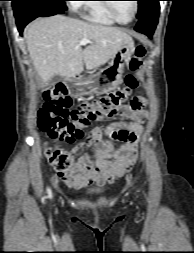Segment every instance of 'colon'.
Returning <instances> with one entry per match:
<instances>
[{
    "label": "colon",
    "mask_w": 194,
    "mask_h": 253,
    "mask_svg": "<svg viewBox=\"0 0 194 253\" xmlns=\"http://www.w3.org/2000/svg\"><path fill=\"white\" fill-rule=\"evenodd\" d=\"M145 55L146 47L137 45L129 62L131 72H136L141 67ZM137 87V79L129 74L122 88L84 102L72 110L71 98L64 85L48 88L42 92L45 103L39 113V126L55 143H74L84 137V129L90 124L110 116L126 105ZM45 155L58 172H64L72 166L70 154L59 146L47 147Z\"/></svg>",
    "instance_id": "1"
}]
</instances>
